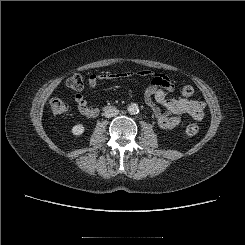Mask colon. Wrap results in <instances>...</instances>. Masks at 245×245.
I'll return each mask as SVG.
<instances>
[{"label":"colon","instance_id":"5ec220e1","mask_svg":"<svg viewBox=\"0 0 245 245\" xmlns=\"http://www.w3.org/2000/svg\"><path fill=\"white\" fill-rule=\"evenodd\" d=\"M66 83L67 86L74 91L82 90L84 85L83 78L79 74H74L69 77ZM181 93L186 97L192 96L194 88L189 84H185L181 89ZM50 109L54 115H61L68 110V105L60 98H52L50 101ZM198 131L199 125L197 123H192L185 128V134L189 137L196 135Z\"/></svg>","mask_w":245,"mask_h":245}]
</instances>
